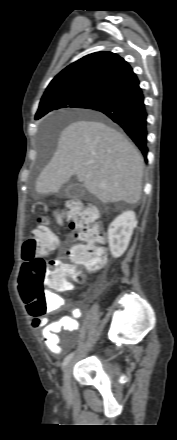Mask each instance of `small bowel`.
Wrapping results in <instances>:
<instances>
[{"label": "small bowel", "mask_w": 177, "mask_h": 440, "mask_svg": "<svg viewBox=\"0 0 177 440\" xmlns=\"http://www.w3.org/2000/svg\"><path fill=\"white\" fill-rule=\"evenodd\" d=\"M72 289V285L61 291H68ZM63 306L62 298L56 293L48 294V310L50 312L58 311ZM69 314L64 315L57 320L49 321L47 316L33 317L32 325L37 329H41L42 338L47 348L54 354H61L63 352V345L61 344L58 333L61 331L78 332L79 322L82 311L78 307L68 309ZM67 344L72 343V339L67 340Z\"/></svg>", "instance_id": "obj_1"}]
</instances>
